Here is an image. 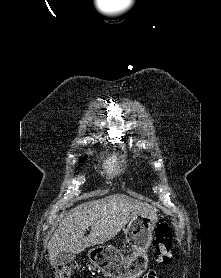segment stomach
<instances>
[{"instance_id": "stomach-1", "label": "stomach", "mask_w": 221, "mask_h": 278, "mask_svg": "<svg viewBox=\"0 0 221 278\" xmlns=\"http://www.w3.org/2000/svg\"><path fill=\"white\" fill-rule=\"evenodd\" d=\"M158 218L155 213H143L134 216L126 230L125 238L136 254L128 264L118 249L111 245L98 246L88 252L93 265L111 278H142L147 269L148 254H144L151 245L153 231Z\"/></svg>"}]
</instances>
